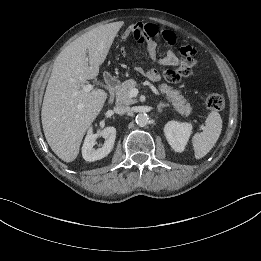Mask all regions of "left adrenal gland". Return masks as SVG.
Returning a JSON list of instances; mask_svg holds the SVG:
<instances>
[{
	"instance_id": "a2214340",
	"label": "left adrenal gland",
	"mask_w": 261,
	"mask_h": 261,
	"mask_svg": "<svg viewBox=\"0 0 261 261\" xmlns=\"http://www.w3.org/2000/svg\"><path fill=\"white\" fill-rule=\"evenodd\" d=\"M169 105L168 104H164V103H159V105H158V112H162L163 111V108H166V107H168Z\"/></svg>"
}]
</instances>
